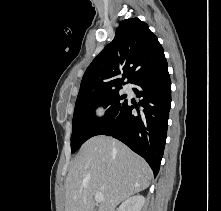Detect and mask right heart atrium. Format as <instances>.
Listing matches in <instances>:
<instances>
[{"instance_id":"right-heart-atrium-1","label":"right heart atrium","mask_w":221,"mask_h":211,"mask_svg":"<svg viewBox=\"0 0 221 211\" xmlns=\"http://www.w3.org/2000/svg\"><path fill=\"white\" fill-rule=\"evenodd\" d=\"M105 106L101 103H98L94 106L93 110H92V116L95 119H101L104 115H105Z\"/></svg>"}]
</instances>
